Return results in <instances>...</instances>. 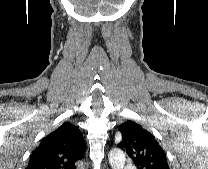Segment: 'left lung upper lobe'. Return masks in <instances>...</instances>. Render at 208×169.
Returning <instances> with one entry per match:
<instances>
[{
  "mask_svg": "<svg viewBox=\"0 0 208 169\" xmlns=\"http://www.w3.org/2000/svg\"><path fill=\"white\" fill-rule=\"evenodd\" d=\"M122 141L118 147L126 151L139 169H169L162 147L142 126L126 121L118 127Z\"/></svg>",
  "mask_w": 208,
  "mask_h": 169,
  "instance_id": "left-lung-upper-lobe-1",
  "label": "left lung upper lobe"
}]
</instances>
